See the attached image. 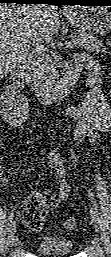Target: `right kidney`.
I'll return each mask as SVG.
<instances>
[{
	"label": "right kidney",
	"mask_w": 111,
	"mask_h": 257,
	"mask_svg": "<svg viewBox=\"0 0 111 257\" xmlns=\"http://www.w3.org/2000/svg\"><path fill=\"white\" fill-rule=\"evenodd\" d=\"M19 87H24V86L22 84L20 85V82L17 81L12 83L10 86H6L5 91L2 92V95H1L2 107H4V105L9 107L6 110L13 111V109H16V107L20 102H23V106L21 107H25V105H27L26 103L27 99L24 97L23 94H20V90H17V92L15 91ZM3 111H5L4 108H3Z\"/></svg>",
	"instance_id": "right-kidney-1"
}]
</instances>
